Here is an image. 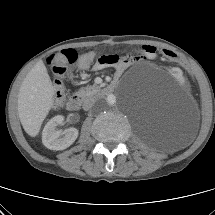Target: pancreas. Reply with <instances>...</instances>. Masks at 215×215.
<instances>
[{
	"label": "pancreas",
	"mask_w": 215,
	"mask_h": 215,
	"mask_svg": "<svg viewBox=\"0 0 215 215\" xmlns=\"http://www.w3.org/2000/svg\"><path fill=\"white\" fill-rule=\"evenodd\" d=\"M98 91H100V86L98 85L86 86L80 88V90L77 92V95L85 98L96 94Z\"/></svg>",
	"instance_id": "cf45deb5"
}]
</instances>
